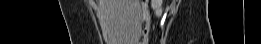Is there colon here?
Instances as JSON below:
<instances>
[{"label": "colon", "instance_id": "obj_1", "mask_svg": "<svg viewBox=\"0 0 261 44\" xmlns=\"http://www.w3.org/2000/svg\"><path fill=\"white\" fill-rule=\"evenodd\" d=\"M142 2H143V1H142ZM146 12H147V9L144 8L143 13L146 14ZM144 20H145V16H144Z\"/></svg>", "mask_w": 261, "mask_h": 44}]
</instances>
